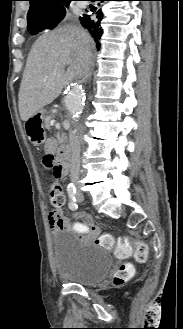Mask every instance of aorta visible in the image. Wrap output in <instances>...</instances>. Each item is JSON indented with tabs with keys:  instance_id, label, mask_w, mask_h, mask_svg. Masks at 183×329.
<instances>
[{
	"instance_id": "aorta-1",
	"label": "aorta",
	"mask_w": 183,
	"mask_h": 329,
	"mask_svg": "<svg viewBox=\"0 0 183 329\" xmlns=\"http://www.w3.org/2000/svg\"><path fill=\"white\" fill-rule=\"evenodd\" d=\"M64 103L73 120L77 121L85 104L84 87L80 83L71 85L65 95Z\"/></svg>"
}]
</instances>
